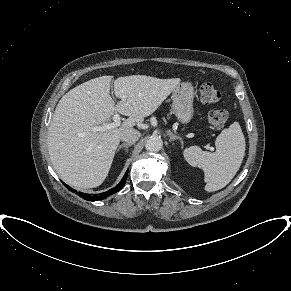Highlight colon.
Returning a JSON list of instances; mask_svg holds the SVG:
<instances>
[{
	"label": "colon",
	"mask_w": 291,
	"mask_h": 291,
	"mask_svg": "<svg viewBox=\"0 0 291 291\" xmlns=\"http://www.w3.org/2000/svg\"><path fill=\"white\" fill-rule=\"evenodd\" d=\"M200 98L205 104L217 103L220 98V92L211 84L204 83L200 86ZM228 115L225 110L214 109L208 114V121L216 128H221L227 122Z\"/></svg>",
	"instance_id": "5ec220e1"
}]
</instances>
